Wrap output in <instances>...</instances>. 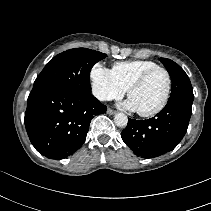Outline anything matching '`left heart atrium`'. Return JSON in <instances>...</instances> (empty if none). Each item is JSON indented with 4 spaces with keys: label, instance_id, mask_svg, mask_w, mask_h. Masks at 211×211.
Masks as SVG:
<instances>
[{
    "label": "left heart atrium",
    "instance_id": "left-heart-atrium-1",
    "mask_svg": "<svg viewBox=\"0 0 211 211\" xmlns=\"http://www.w3.org/2000/svg\"><path fill=\"white\" fill-rule=\"evenodd\" d=\"M124 107L129 109V110H132V111H136V108L135 106L133 105V103L131 102V100H128L127 102H125L124 104Z\"/></svg>",
    "mask_w": 211,
    "mask_h": 211
}]
</instances>
